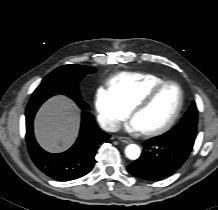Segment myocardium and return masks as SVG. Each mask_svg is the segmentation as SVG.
Segmentation results:
<instances>
[{
	"label": "myocardium",
	"mask_w": 218,
	"mask_h": 210,
	"mask_svg": "<svg viewBox=\"0 0 218 210\" xmlns=\"http://www.w3.org/2000/svg\"><path fill=\"white\" fill-rule=\"evenodd\" d=\"M173 84L175 85L179 90V103L178 107L173 115V117L170 119V121L165 124L163 127L151 130V131H143L141 132V135L145 137H156L160 136L169 130H171L174 125L177 123V121L180 118V115L183 110L184 106V90L182 86L174 80H164L163 82L155 85L152 87L133 107L131 110V117L134 118V116L141 111L142 109L146 108L151 104V102L154 100V98L157 96V94L167 85Z\"/></svg>",
	"instance_id": "myocardium-1"
}]
</instances>
